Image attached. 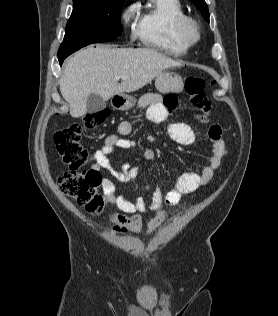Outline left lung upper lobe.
<instances>
[{
	"label": "left lung upper lobe",
	"instance_id": "1",
	"mask_svg": "<svg viewBox=\"0 0 278 316\" xmlns=\"http://www.w3.org/2000/svg\"><path fill=\"white\" fill-rule=\"evenodd\" d=\"M193 4L199 9L204 16L205 20L209 22V11L207 4L205 3L204 0H191Z\"/></svg>",
	"mask_w": 278,
	"mask_h": 316
}]
</instances>
